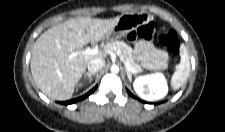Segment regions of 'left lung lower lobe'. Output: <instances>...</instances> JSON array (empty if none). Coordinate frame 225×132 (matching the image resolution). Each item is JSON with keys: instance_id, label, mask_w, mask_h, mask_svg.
Wrapping results in <instances>:
<instances>
[{"instance_id": "left-lung-lower-lobe-1", "label": "left lung lower lobe", "mask_w": 225, "mask_h": 132, "mask_svg": "<svg viewBox=\"0 0 225 132\" xmlns=\"http://www.w3.org/2000/svg\"><path fill=\"white\" fill-rule=\"evenodd\" d=\"M128 94L133 97V95L128 91Z\"/></svg>"}]
</instances>
